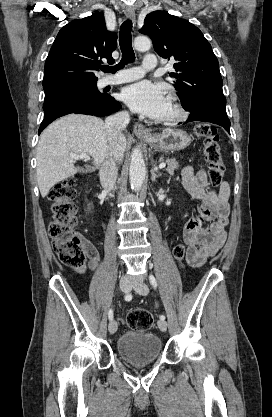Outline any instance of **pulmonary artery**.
Wrapping results in <instances>:
<instances>
[{
    "label": "pulmonary artery",
    "mask_w": 272,
    "mask_h": 417,
    "mask_svg": "<svg viewBox=\"0 0 272 417\" xmlns=\"http://www.w3.org/2000/svg\"><path fill=\"white\" fill-rule=\"evenodd\" d=\"M157 67V57L153 54H147L144 57L141 67H133L122 70L117 75L108 78L106 84H121L131 82L141 78L146 71L153 70Z\"/></svg>",
    "instance_id": "1"
}]
</instances>
